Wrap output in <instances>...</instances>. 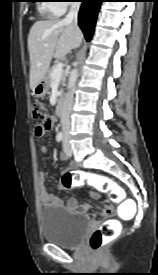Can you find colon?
Wrapping results in <instances>:
<instances>
[{
    "instance_id": "colon-1",
    "label": "colon",
    "mask_w": 158,
    "mask_h": 275,
    "mask_svg": "<svg viewBox=\"0 0 158 275\" xmlns=\"http://www.w3.org/2000/svg\"><path fill=\"white\" fill-rule=\"evenodd\" d=\"M33 121L35 131L38 136L49 132L53 126V120L49 116L46 107L39 102L33 104ZM63 188H78L84 185L95 186L99 191L108 193L114 200L124 199V191L117 186L115 182L107 176L94 175L83 171L65 172L61 177ZM109 208H105L100 213H95L94 218L102 219L109 214ZM117 235L115 223L112 220H106L96 229L89 240L90 247L93 250H99L106 242L112 240Z\"/></svg>"
}]
</instances>
